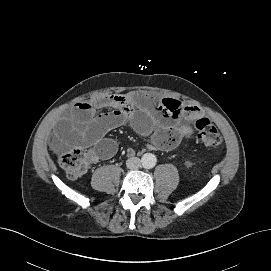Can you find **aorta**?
<instances>
[{
	"mask_svg": "<svg viewBox=\"0 0 271 271\" xmlns=\"http://www.w3.org/2000/svg\"><path fill=\"white\" fill-rule=\"evenodd\" d=\"M142 165L144 168H153L156 165L157 159L156 156L152 153H145L141 159Z\"/></svg>",
	"mask_w": 271,
	"mask_h": 271,
	"instance_id": "762f6f07",
	"label": "aorta"
}]
</instances>
